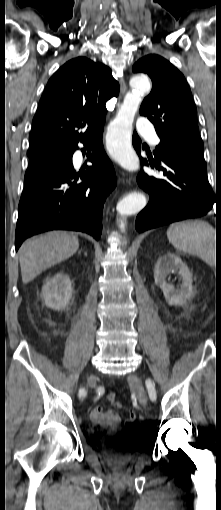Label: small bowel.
<instances>
[{"mask_svg":"<svg viewBox=\"0 0 221 510\" xmlns=\"http://www.w3.org/2000/svg\"><path fill=\"white\" fill-rule=\"evenodd\" d=\"M90 418L94 423L101 426H117L121 422V416L118 412L112 410L106 411L100 405L92 408Z\"/></svg>","mask_w":221,"mask_h":510,"instance_id":"small-bowel-1","label":"small bowel"}]
</instances>
